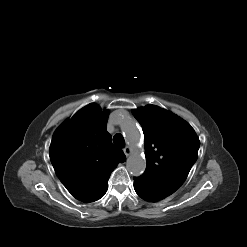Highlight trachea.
<instances>
[{
	"label": "trachea",
	"mask_w": 247,
	"mask_h": 247,
	"mask_svg": "<svg viewBox=\"0 0 247 247\" xmlns=\"http://www.w3.org/2000/svg\"><path fill=\"white\" fill-rule=\"evenodd\" d=\"M113 142L116 146L123 148L125 146V140L124 137L121 134H116L113 137Z\"/></svg>",
	"instance_id": "1"
}]
</instances>
